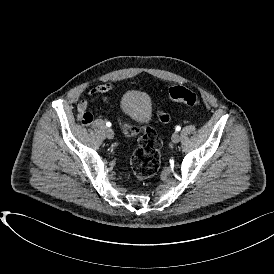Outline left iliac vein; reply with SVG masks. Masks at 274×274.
<instances>
[{
    "label": "left iliac vein",
    "mask_w": 274,
    "mask_h": 274,
    "mask_svg": "<svg viewBox=\"0 0 274 274\" xmlns=\"http://www.w3.org/2000/svg\"><path fill=\"white\" fill-rule=\"evenodd\" d=\"M171 139H172V142L176 144L180 141V136L177 132H175L172 134Z\"/></svg>",
    "instance_id": "1"
}]
</instances>
